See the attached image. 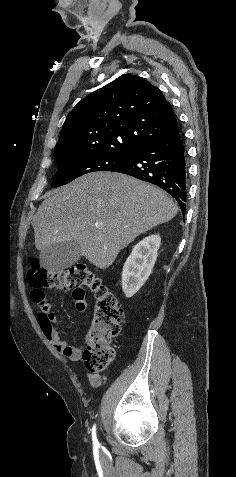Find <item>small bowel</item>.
Masks as SVG:
<instances>
[{
	"label": "small bowel",
	"mask_w": 236,
	"mask_h": 477,
	"mask_svg": "<svg viewBox=\"0 0 236 477\" xmlns=\"http://www.w3.org/2000/svg\"><path fill=\"white\" fill-rule=\"evenodd\" d=\"M74 302L79 310H86L88 302L86 301L84 294H74ZM35 302L39 304L40 311L37 315V324L44 335V337L50 341L57 351L61 352L67 359L76 361L81 357V349L70 345L59 334L55 325L57 322L56 314L52 305L46 300L44 292L41 299H35ZM92 383H96L99 379L97 375H91L89 377Z\"/></svg>",
	"instance_id": "small-bowel-1"
}]
</instances>
